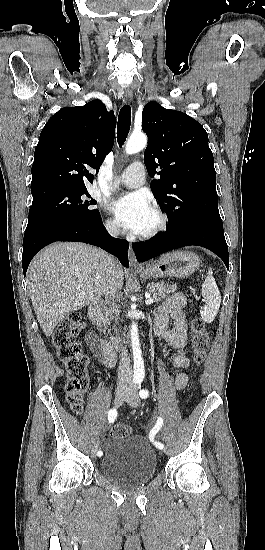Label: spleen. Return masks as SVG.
<instances>
[{
    "instance_id": "obj_1",
    "label": "spleen",
    "mask_w": 265,
    "mask_h": 550,
    "mask_svg": "<svg viewBox=\"0 0 265 550\" xmlns=\"http://www.w3.org/2000/svg\"><path fill=\"white\" fill-rule=\"evenodd\" d=\"M202 296L206 301V305L200 310L201 317L204 322L211 323L214 321L221 303L220 291L211 268H209L208 275L202 285Z\"/></svg>"
}]
</instances>
